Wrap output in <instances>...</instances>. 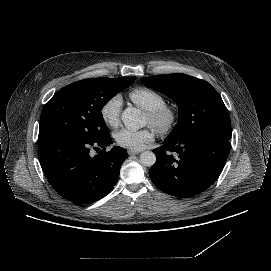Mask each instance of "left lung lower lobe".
Here are the masks:
<instances>
[{"mask_svg": "<svg viewBox=\"0 0 271 271\" xmlns=\"http://www.w3.org/2000/svg\"><path fill=\"white\" fill-rule=\"evenodd\" d=\"M231 131L205 129L165 139L154 149L156 163L149 176L161 191L180 198L198 195L213 184L230 152Z\"/></svg>", "mask_w": 271, "mask_h": 271, "instance_id": "1", "label": "left lung lower lobe"}]
</instances>
